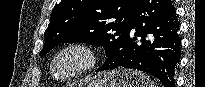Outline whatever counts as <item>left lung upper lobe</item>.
Masks as SVG:
<instances>
[{"label":"left lung upper lobe","mask_w":205,"mask_h":87,"mask_svg":"<svg viewBox=\"0 0 205 87\" xmlns=\"http://www.w3.org/2000/svg\"><path fill=\"white\" fill-rule=\"evenodd\" d=\"M138 1L61 0L52 11L40 55L60 43L80 42L105 46L106 64L122 49Z\"/></svg>","instance_id":"1"}]
</instances>
